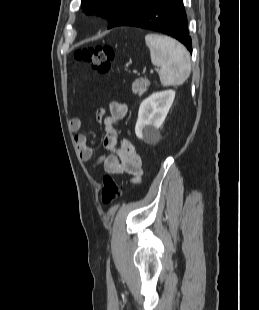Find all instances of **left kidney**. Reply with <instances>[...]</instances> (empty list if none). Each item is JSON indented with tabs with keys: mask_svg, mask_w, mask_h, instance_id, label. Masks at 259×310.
<instances>
[{
	"mask_svg": "<svg viewBox=\"0 0 259 310\" xmlns=\"http://www.w3.org/2000/svg\"><path fill=\"white\" fill-rule=\"evenodd\" d=\"M174 98V90H165L153 93L142 101L135 126V134L139 139L149 141L158 136L157 132L164 123Z\"/></svg>",
	"mask_w": 259,
	"mask_h": 310,
	"instance_id": "5707ae66",
	"label": "left kidney"
}]
</instances>
